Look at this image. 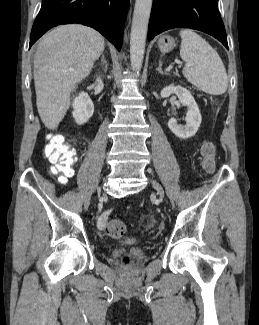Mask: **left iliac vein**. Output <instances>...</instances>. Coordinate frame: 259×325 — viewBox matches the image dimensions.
Instances as JSON below:
<instances>
[{
    "label": "left iliac vein",
    "mask_w": 259,
    "mask_h": 325,
    "mask_svg": "<svg viewBox=\"0 0 259 325\" xmlns=\"http://www.w3.org/2000/svg\"><path fill=\"white\" fill-rule=\"evenodd\" d=\"M152 184H153V187L157 190V192L159 193V195L161 196V197H163L164 196V192H163V189H162V187H161V185L157 182V181H155V180H152Z\"/></svg>",
    "instance_id": "left-iliac-vein-1"
}]
</instances>
